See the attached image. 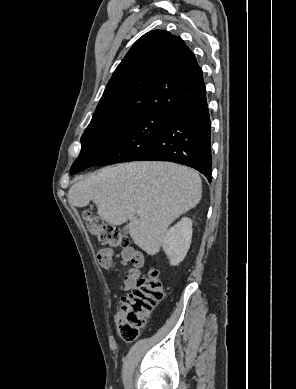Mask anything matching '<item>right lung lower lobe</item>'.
Returning a JSON list of instances; mask_svg holds the SVG:
<instances>
[{
  "label": "right lung lower lobe",
  "instance_id": "right-lung-lower-lobe-1",
  "mask_svg": "<svg viewBox=\"0 0 296 389\" xmlns=\"http://www.w3.org/2000/svg\"><path fill=\"white\" fill-rule=\"evenodd\" d=\"M207 102L187 109L174 117L137 159L170 161L192 167L209 182L212 174L211 121ZM89 166L81 164L71 174Z\"/></svg>",
  "mask_w": 296,
  "mask_h": 389
}]
</instances>
